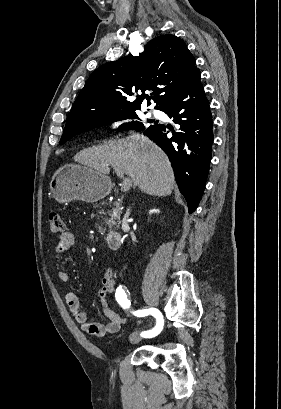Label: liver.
I'll return each instance as SVG.
<instances>
[{
    "label": "liver",
    "instance_id": "6515ba94",
    "mask_svg": "<svg viewBox=\"0 0 281 409\" xmlns=\"http://www.w3.org/2000/svg\"><path fill=\"white\" fill-rule=\"evenodd\" d=\"M74 160L109 174L110 164L120 168L133 180L134 186L155 196H167L174 188V174L163 150L141 134L111 140L109 144L84 148Z\"/></svg>",
    "mask_w": 281,
    "mask_h": 409
}]
</instances>
